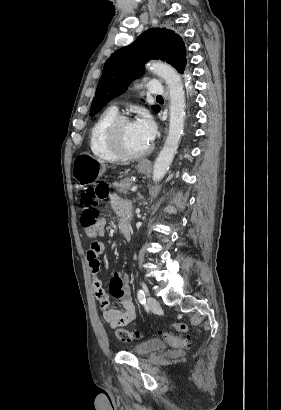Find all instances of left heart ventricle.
I'll return each instance as SVG.
<instances>
[{"label":"left heart ventricle","instance_id":"b2bd125f","mask_svg":"<svg viewBox=\"0 0 281 410\" xmlns=\"http://www.w3.org/2000/svg\"><path fill=\"white\" fill-rule=\"evenodd\" d=\"M119 135L123 145L129 151L137 152L148 147V144L142 140L131 121L124 122L121 125Z\"/></svg>","mask_w":281,"mask_h":410}]
</instances>
